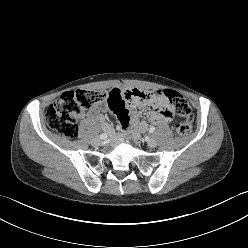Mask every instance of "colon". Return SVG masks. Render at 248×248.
Instances as JSON below:
<instances>
[{
    "label": "colon",
    "instance_id": "colon-1",
    "mask_svg": "<svg viewBox=\"0 0 248 248\" xmlns=\"http://www.w3.org/2000/svg\"><path fill=\"white\" fill-rule=\"evenodd\" d=\"M162 94L169 102V112L177 113L182 120L176 125L179 135L191 131L192 110L183 95L174 90H164ZM107 100L106 91L72 90L64 92L53 102L46 112V122L50 128L66 138H74L78 133V118L96 103Z\"/></svg>",
    "mask_w": 248,
    "mask_h": 248
}]
</instances>
